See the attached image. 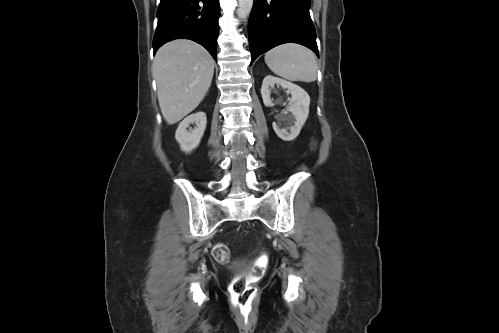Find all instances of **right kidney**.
<instances>
[{"instance_id":"right-kidney-1","label":"right kidney","mask_w":499,"mask_h":333,"mask_svg":"<svg viewBox=\"0 0 499 333\" xmlns=\"http://www.w3.org/2000/svg\"><path fill=\"white\" fill-rule=\"evenodd\" d=\"M196 124L195 129L187 131L190 124ZM207 120L206 114L204 112H197L187 116L178 126L175 138L180 144L182 151L189 153L193 151L199 145L201 138L203 137Z\"/></svg>"}]
</instances>
